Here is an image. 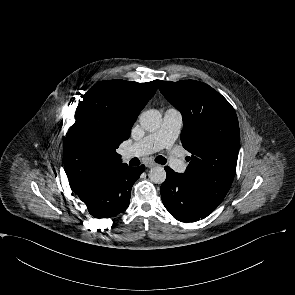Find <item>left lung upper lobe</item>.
<instances>
[{
    "label": "left lung upper lobe",
    "mask_w": 295,
    "mask_h": 295,
    "mask_svg": "<svg viewBox=\"0 0 295 295\" xmlns=\"http://www.w3.org/2000/svg\"><path fill=\"white\" fill-rule=\"evenodd\" d=\"M159 88L183 116L181 142L191 153L183 177L220 204L233 182L240 146L235 110L221 94L199 81H161Z\"/></svg>",
    "instance_id": "left-lung-upper-lobe-1"
}]
</instances>
